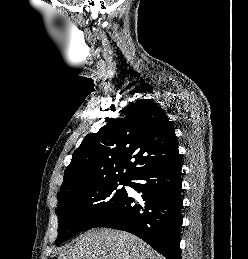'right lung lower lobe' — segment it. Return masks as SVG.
<instances>
[{"label":"right lung lower lobe","mask_w":248,"mask_h":259,"mask_svg":"<svg viewBox=\"0 0 248 259\" xmlns=\"http://www.w3.org/2000/svg\"><path fill=\"white\" fill-rule=\"evenodd\" d=\"M181 169L177 155L139 172L131 180L140 182H129L128 186L142 193V201L135 202L126 193L112 217L100 227L132 233L167 259H181Z\"/></svg>","instance_id":"1"}]
</instances>
